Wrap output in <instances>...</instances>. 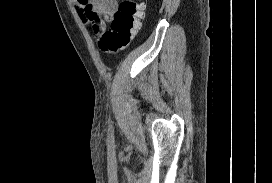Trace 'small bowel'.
<instances>
[{
  "instance_id": "obj_1",
  "label": "small bowel",
  "mask_w": 272,
  "mask_h": 183,
  "mask_svg": "<svg viewBox=\"0 0 272 183\" xmlns=\"http://www.w3.org/2000/svg\"><path fill=\"white\" fill-rule=\"evenodd\" d=\"M81 18L91 25L96 34L106 29L117 11V0H76Z\"/></svg>"
}]
</instances>
